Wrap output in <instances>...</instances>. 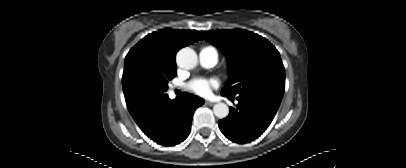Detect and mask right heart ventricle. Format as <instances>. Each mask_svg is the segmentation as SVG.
<instances>
[{
  "label": "right heart ventricle",
  "mask_w": 406,
  "mask_h": 168,
  "mask_svg": "<svg viewBox=\"0 0 406 168\" xmlns=\"http://www.w3.org/2000/svg\"><path fill=\"white\" fill-rule=\"evenodd\" d=\"M208 48H212V47H204L203 49H208Z\"/></svg>",
  "instance_id": "right-heart-ventricle-1"
}]
</instances>
